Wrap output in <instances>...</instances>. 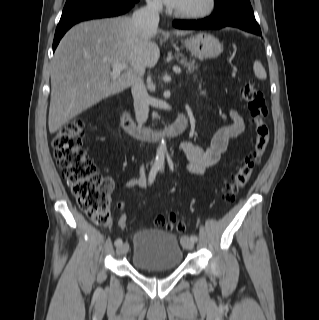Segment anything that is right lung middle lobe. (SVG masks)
<instances>
[{
    "instance_id": "right-lung-middle-lobe-1",
    "label": "right lung middle lobe",
    "mask_w": 319,
    "mask_h": 320,
    "mask_svg": "<svg viewBox=\"0 0 319 320\" xmlns=\"http://www.w3.org/2000/svg\"><path fill=\"white\" fill-rule=\"evenodd\" d=\"M101 0H67L66 4L64 6L62 15L64 14H68L70 12H73L81 7H84L88 4L94 3V2H98Z\"/></svg>"
}]
</instances>
